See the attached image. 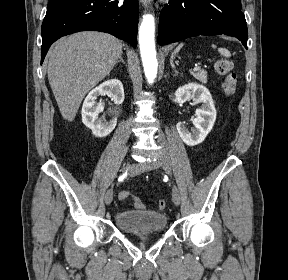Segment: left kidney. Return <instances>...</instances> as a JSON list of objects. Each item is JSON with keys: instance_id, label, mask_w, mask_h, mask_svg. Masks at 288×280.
Here are the masks:
<instances>
[{"instance_id": "obj_1", "label": "left kidney", "mask_w": 288, "mask_h": 280, "mask_svg": "<svg viewBox=\"0 0 288 280\" xmlns=\"http://www.w3.org/2000/svg\"><path fill=\"white\" fill-rule=\"evenodd\" d=\"M193 99L196 103H202L196 110V118L193 120L194 128L188 130L185 122L177 124V132L183 142L189 146L202 143L212 130L216 120V109L209 90L200 84L189 83L177 89L174 102L182 105Z\"/></svg>"}]
</instances>
